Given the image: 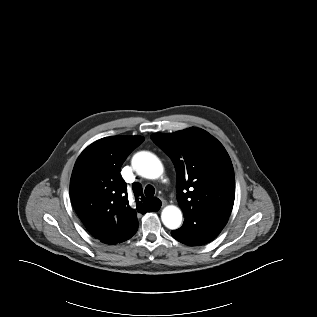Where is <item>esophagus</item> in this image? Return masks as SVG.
<instances>
[{
  "label": "esophagus",
  "mask_w": 317,
  "mask_h": 317,
  "mask_svg": "<svg viewBox=\"0 0 317 317\" xmlns=\"http://www.w3.org/2000/svg\"><path fill=\"white\" fill-rule=\"evenodd\" d=\"M159 199H160L161 202H162V206H165V205L167 204V201H166L164 198L159 197Z\"/></svg>",
  "instance_id": "34e87169"
}]
</instances>
